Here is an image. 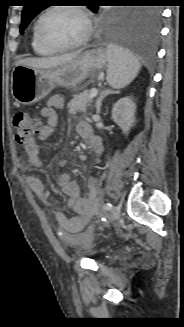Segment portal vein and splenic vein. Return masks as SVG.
I'll return each instance as SVG.
<instances>
[{
    "label": "portal vein and splenic vein",
    "instance_id": "18ae733b",
    "mask_svg": "<svg viewBox=\"0 0 184 327\" xmlns=\"http://www.w3.org/2000/svg\"><path fill=\"white\" fill-rule=\"evenodd\" d=\"M97 93H98L97 89H95V88L92 89L91 92H90V98L91 99L94 98L97 95Z\"/></svg>",
    "mask_w": 184,
    "mask_h": 327
}]
</instances>
